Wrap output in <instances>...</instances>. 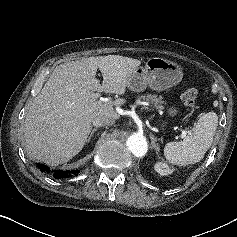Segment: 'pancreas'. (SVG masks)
<instances>
[{"label":"pancreas","mask_w":237,"mask_h":237,"mask_svg":"<svg viewBox=\"0 0 237 237\" xmlns=\"http://www.w3.org/2000/svg\"><path fill=\"white\" fill-rule=\"evenodd\" d=\"M138 101L140 100H146L147 102L154 104V106L156 107V109H163L164 106L163 104H165L163 97L161 96H157L155 94L151 95V94H147V95H141L138 97L137 99Z\"/></svg>","instance_id":"obj_1"}]
</instances>
